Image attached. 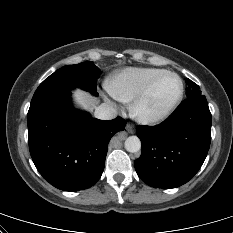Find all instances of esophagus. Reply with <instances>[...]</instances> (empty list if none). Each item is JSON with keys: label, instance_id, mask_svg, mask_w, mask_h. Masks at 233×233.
<instances>
[{"label": "esophagus", "instance_id": "obj_1", "mask_svg": "<svg viewBox=\"0 0 233 233\" xmlns=\"http://www.w3.org/2000/svg\"><path fill=\"white\" fill-rule=\"evenodd\" d=\"M126 130H127L129 133L133 134V133L135 132V127H134L132 124L128 123V124L126 125Z\"/></svg>", "mask_w": 233, "mask_h": 233}]
</instances>
